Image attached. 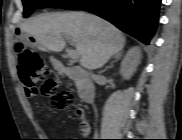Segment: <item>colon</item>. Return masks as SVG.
Listing matches in <instances>:
<instances>
[{
    "label": "colon",
    "instance_id": "obj_1",
    "mask_svg": "<svg viewBox=\"0 0 182 140\" xmlns=\"http://www.w3.org/2000/svg\"><path fill=\"white\" fill-rule=\"evenodd\" d=\"M15 53L27 95L37 94L39 91L37 84L43 82L41 91L51 97V104L55 109H67L74 105L73 93L69 90L57 91L56 83L49 79L47 64L26 42L18 41L15 44Z\"/></svg>",
    "mask_w": 182,
    "mask_h": 140
}]
</instances>
